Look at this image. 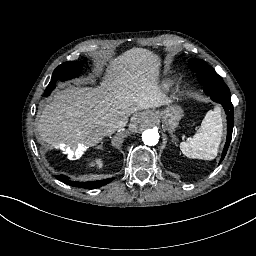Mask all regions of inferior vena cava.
<instances>
[{"label": "inferior vena cava", "mask_w": 256, "mask_h": 256, "mask_svg": "<svg viewBox=\"0 0 256 256\" xmlns=\"http://www.w3.org/2000/svg\"><path fill=\"white\" fill-rule=\"evenodd\" d=\"M126 123V120L125 119H121L120 121H118L116 124H114L113 126H111L109 128V131H114L116 130L117 128H122Z\"/></svg>", "instance_id": "602c4592"}]
</instances>
